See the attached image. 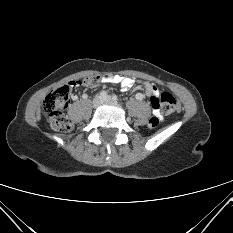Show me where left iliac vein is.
I'll return each mask as SVG.
<instances>
[{
  "label": "left iliac vein",
  "mask_w": 233,
  "mask_h": 233,
  "mask_svg": "<svg viewBox=\"0 0 233 233\" xmlns=\"http://www.w3.org/2000/svg\"><path fill=\"white\" fill-rule=\"evenodd\" d=\"M103 101H104V102H111L112 99H111L110 96H107V97H105V98L103 99Z\"/></svg>",
  "instance_id": "4c4485c4"
}]
</instances>
